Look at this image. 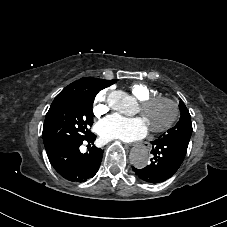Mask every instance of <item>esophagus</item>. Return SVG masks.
Segmentation results:
<instances>
[{
    "label": "esophagus",
    "mask_w": 227,
    "mask_h": 227,
    "mask_svg": "<svg viewBox=\"0 0 227 227\" xmlns=\"http://www.w3.org/2000/svg\"><path fill=\"white\" fill-rule=\"evenodd\" d=\"M135 149L137 151H140V150H145V151H151L152 150V145L150 143H147V142H142V143H138L136 146H135Z\"/></svg>",
    "instance_id": "obj_1"
}]
</instances>
